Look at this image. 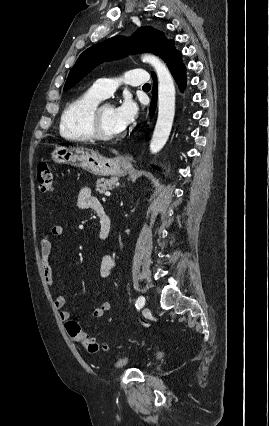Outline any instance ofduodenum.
<instances>
[{"label":"duodenum","instance_id":"410a0bca","mask_svg":"<svg viewBox=\"0 0 269 426\" xmlns=\"http://www.w3.org/2000/svg\"><path fill=\"white\" fill-rule=\"evenodd\" d=\"M97 214H98L99 220H100L99 238L101 240H105L112 233L113 222H112L111 217L103 209V207H100V208L97 209Z\"/></svg>","mask_w":269,"mask_h":426}]
</instances>
